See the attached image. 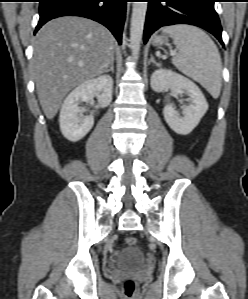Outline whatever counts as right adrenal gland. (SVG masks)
Returning <instances> with one entry per match:
<instances>
[{"label": "right adrenal gland", "mask_w": 248, "mask_h": 299, "mask_svg": "<svg viewBox=\"0 0 248 299\" xmlns=\"http://www.w3.org/2000/svg\"><path fill=\"white\" fill-rule=\"evenodd\" d=\"M109 71H111L112 73H114V59H112L110 66L108 67V69H106V73H108Z\"/></svg>", "instance_id": "right-adrenal-gland-1"}]
</instances>
